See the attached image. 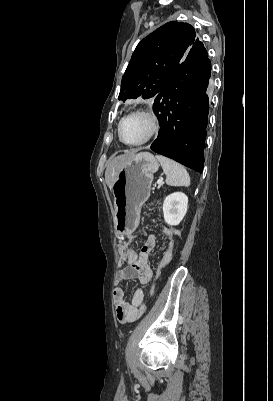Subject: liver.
Returning a JSON list of instances; mask_svg holds the SVG:
<instances>
[{"label":"liver","mask_w":273,"mask_h":401,"mask_svg":"<svg viewBox=\"0 0 273 401\" xmlns=\"http://www.w3.org/2000/svg\"><path fill=\"white\" fill-rule=\"evenodd\" d=\"M137 152V154H136ZM140 152H138L137 148H133V150H127L126 154H119V156H111V160L109 164H107V168L105 170V182L109 188H112L120 168H122L123 164L129 162V160H136L138 158Z\"/></svg>","instance_id":"6515ba94"}]
</instances>
